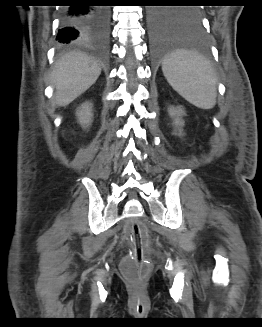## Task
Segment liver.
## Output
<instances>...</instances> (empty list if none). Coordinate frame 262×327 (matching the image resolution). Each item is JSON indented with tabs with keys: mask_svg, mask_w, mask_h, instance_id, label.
Wrapping results in <instances>:
<instances>
[{
	"mask_svg": "<svg viewBox=\"0 0 262 327\" xmlns=\"http://www.w3.org/2000/svg\"><path fill=\"white\" fill-rule=\"evenodd\" d=\"M100 73L98 64L85 54L72 52L62 57L52 73L56 104H70L96 82Z\"/></svg>",
	"mask_w": 262,
	"mask_h": 327,
	"instance_id": "obj_1",
	"label": "liver"
}]
</instances>
